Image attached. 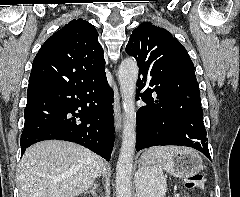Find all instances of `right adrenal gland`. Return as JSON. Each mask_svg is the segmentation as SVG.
I'll list each match as a JSON object with an SVG mask.
<instances>
[{
	"label": "right adrenal gland",
	"mask_w": 240,
	"mask_h": 197,
	"mask_svg": "<svg viewBox=\"0 0 240 197\" xmlns=\"http://www.w3.org/2000/svg\"><path fill=\"white\" fill-rule=\"evenodd\" d=\"M97 190H98V185L94 184L92 188L86 191L85 193H90L93 197H98Z\"/></svg>",
	"instance_id": "1"
}]
</instances>
